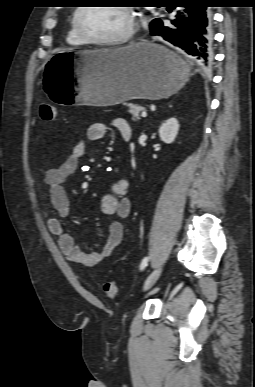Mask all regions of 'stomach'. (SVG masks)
Returning <instances> with one entry per match:
<instances>
[{
  "label": "stomach",
  "instance_id": "stomach-1",
  "mask_svg": "<svg viewBox=\"0 0 255 387\" xmlns=\"http://www.w3.org/2000/svg\"><path fill=\"white\" fill-rule=\"evenodd\" d=\"M189 75L181 58L158 45L84 51L77 47L59 51L46 62L43 86L60 108H89L169 97L184 87Z\"/></svg>",
  "mask_w": 255,
  "mask_h": 387
}]
</instances>
